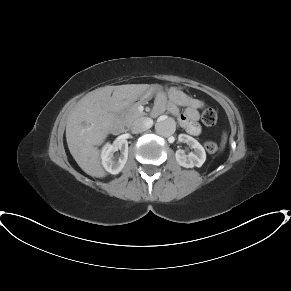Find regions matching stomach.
Listing matches in <instances>:
<instances>
[{
    "label": "stomach",
    "instance_id": "obj_1",
    "mask_svg": "<svg viewBox=\"0 0 291 291\" xmlns=\"http://www.w3.org/2000/svg\"><path fill=\"white\" fill-rule=\"evenodd\" d=\"M160 89L159 85H151L141 96L142 100L150 99Z\"/></svg>",
    "mask_w": 291,
    "mask_h": 291
}]
</instances>
